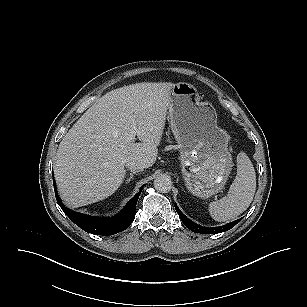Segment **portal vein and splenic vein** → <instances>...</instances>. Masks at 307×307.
Returning <instances> with one entry per match:
<instances>
[{
	"mask_svg": "<svg viewBox=\"0 0 307 307\" xmlns=\"http://www.w3.org/2000/svg\"><path fill=\"white\" fill-rule=\"evenodd\" d=\"M136 131H137V129H136V126H135L134 117H132V128H131L130 134L127 137L128 142L134 141L135 136H136Z\"/></svg>",
	"mask_w": 307,
	"mask_h": 307,
	"instance_id": "portal-vein-and-splenic-vein-1",
	"label": "portal vein and splenic vein"
}]
</instances>
